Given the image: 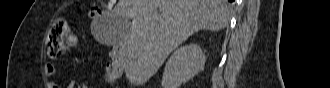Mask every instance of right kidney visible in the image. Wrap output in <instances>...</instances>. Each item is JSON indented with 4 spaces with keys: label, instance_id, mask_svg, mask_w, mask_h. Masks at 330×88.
Here are the masks:
<instances>
[{
    "label": "right kidney",
    "instance_id": "1",
    "mask_svg": "<svg viewBox=\"0 0 330 88\" xmlns=\"http://www.w3.org/2000/svg\"><path fill=\"white\" fill-rule=\"evenodd\" d=\"M205 54L197 44L184 45L174 51L166 63L163 77V88H179L205 65Z\"/></svg>",
    "mask_w": 330,
    "mask_h": 88
}]
</instances>
